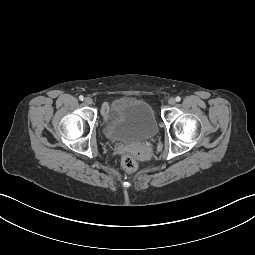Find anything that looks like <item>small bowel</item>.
<instances>
[{
	"mask_svg": "<svg viewBox=\"0 0 255 255\" xmlns=\"http://www.w3.org/2000/svg\"><path fill=\"white\" fill-rule=\"evenodd\" d=\"M110 108L109 105L106 103L102 107V115L107 118L109 116Z\"/></svg>",
	"mask_w": 255,
	"mask_h": 255,
	"instance_id": "small-bowel-1",
	"label": "small bowel"
}]
</instances>
